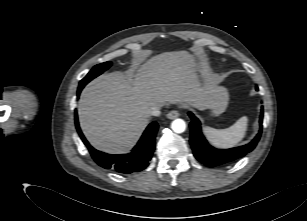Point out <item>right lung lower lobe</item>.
I'll use <instances>...</instances> for the list:
<instances>
[{
    "mask_svg": "<svg viewBox=\"0 0 307 221\" xmlns=\"http://www.w3.org/2000/svg\"><path fill=\"white\" fill-rule=\"evenodd\" d=\"M85 85H79L77 96ZM75 125L77 132L88 148L93 160L101 167L111 169L118 173H134L145 169L152 157L155 148V137L158 130V124L152 122L144 131L138 144L128 154L112 155L100 152L94 149L82 134L77 114L75 113Z\"/></svg>",
    "mask_w": 307,
    "mask_h": 221,
    "instance_id": "right-lung-lower-lobe-1",
    "label": "right lung lower lobe"
}]
</instances>
